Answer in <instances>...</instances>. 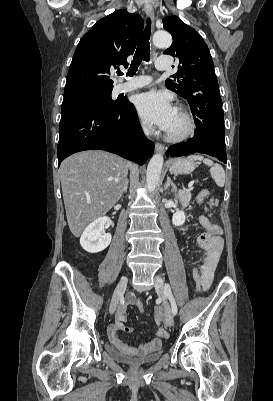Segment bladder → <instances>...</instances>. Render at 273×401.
Returning <instances> with one entry per match:
<instances>
[{"instance_id": "obj_1", "label": "bladder", "mask_w": 273, "mask_h": 401, "mask_svg": "<svg viewBox=\"0 0 273 401\" xmlns=\"http://www.w3.org/2000/svg\"><path fill=\"white\" fill-rule=\"evenodd\" d=\"M105 350L112 359L122 364L128 365L130 367H140V366L150 365L155 361H157L162 355L161 348L141 358L128 357L123 353L119 352L118 350H116V348H114L110 344L106 345Z\"/></svg>"}]
</instances>
